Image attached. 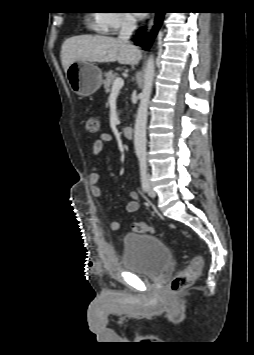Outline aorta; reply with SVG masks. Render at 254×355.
Instances as JSON below:
<instances>
[{
	"label": "aorta",
	"instance_id": "obj_1",
	"mask_svg": "<svg viewBox=\"0 0 254 355\" xmlns=\"http://www.w3.org/2000/svg\"><path fill=\"white\" fill-rule=\"evenodd\" d=\"M155 76V60L150 55L147 59L144 70V84L140 94V103L136 115L134 128V147L138 158L146 156V125L148 116V104L152 92L153 81Z\"/></svg>",
	"mask_w": 254,
	"mask_h": 355
}]
</instances>
